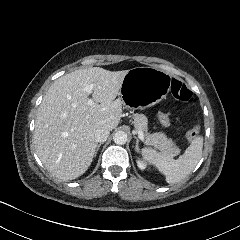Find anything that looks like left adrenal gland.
Segmentation results:
<instances>
[{"instance_id":"obj_1","label":"left adrenal gland","mask_w":240,"mask_h":240,"mask_svg":"<svg viewBox=\"0 0 240 240\" xmlns=\"http://www.w3.org/2000/svg\"><path fill=\"white\" fill-rule=\"evenodd\" d=\"M133 137L136 139L135 151L139 152L140 151V149H139V139L135 135Z\"/></svg>"}]
</instances>
